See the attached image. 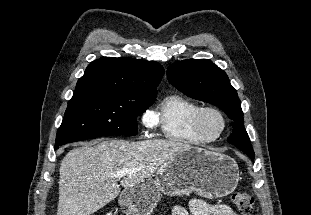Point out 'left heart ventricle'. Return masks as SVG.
<instances>
[{"label":"left heart ventricle","mask_w":311,"mask_h":215,"mask_svg":"<svg viewBox=\"0 0 311 215\" xmlns=\"http://www.w3.org/2000/svg\"><path fill=\"white\" fill-rule=\"evenodd\" d=\"M203 126L210 135H215L221 128V120L214 113H207L203 118Z\"/></svg>","instance_id":"left-heart-ventricle-1"}]
</instances>
